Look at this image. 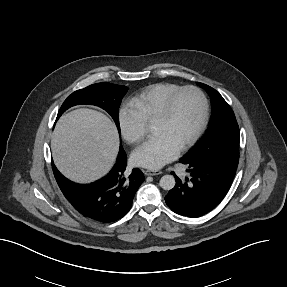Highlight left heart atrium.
Segmentation results:
<instances>
[{
    "label": "left heart atrium",
    "instance_id": "obj_1",
    "mask_svg": "<svg viewBox=\"0 0 287 287\" xmlns=\"http://www.w3.org/2000/svg\"><path fill=\"white\" fill-rule=\"evenodd\" d=\"M179 149L164 136L154 137L145 142L133 153L135 164L159 169L178 155Z\"/></svg>",
    "mask_w": 287,
    "mask_h": 287
}]
</instances>
